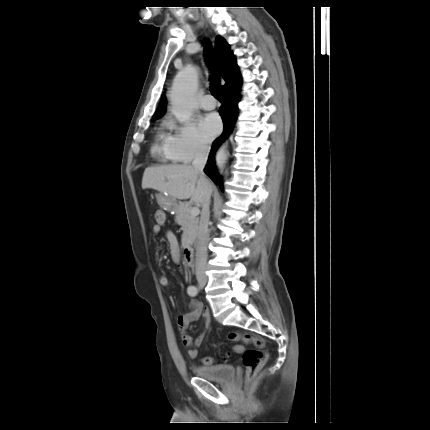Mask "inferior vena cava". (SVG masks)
I'll return each instance as SVG.
<instances>
[{"instance_id":"602c4592","label":"inferior vena cava","mask_w":430,"mask_h":430,"mask_svg":"<svg viewBox=\"0 0 430 430\" xmlns=\"http://www.w3.org/2000/svg\"><path fill=\"white\" fill-rule=\"evenodd\" d=\"M210 148L209 147H201L196 153L194 160L192 162L194 170L199 174V179L202 183L207 184L208 179L205 176L203 171ZM210 196L211 193H206L205 197L202 201V212L198 226V254L196 258V277L197 279L202 278L205 279L206 275V267H207V247L206 243L208 240V222L210 217Z\"/></svg>"}]
</instances>
